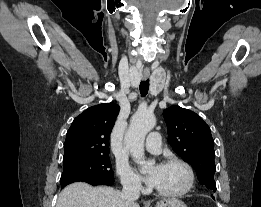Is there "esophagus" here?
Returning <instances> with one entry per match:
<instances>
[{
    "mask_svg": "<svg viewBox=\"0 0 261 207\" xmlns=\"http://www.w3.org/2000/svg\"><path fill=\"white\" fill-rule=\"evenodd\" d=\"M148 76H149L148 74H144V76H143V77H144V79H147V78H148Z\"/></svg>",
    "mask_w": 261,
    "mask_h": 207,
    "instance_id": "esophagus-1",
    "label": "esophagus"
}]
</instances>
